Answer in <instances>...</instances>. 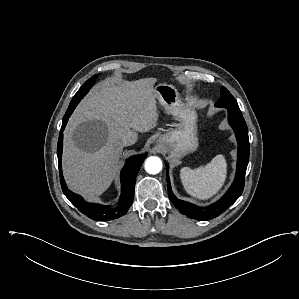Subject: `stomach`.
Instances as JSON below:
<instances>
[{
    "mask_svg": "<svg viewBox=\"0 0 299 299\" xmlns=\"http://www.w3.org/2000/svg\"><path fill=\"white\" fill-rule=\"evenodd\" d=\"M156 99L167 113L177 117L179 127L160 135L157 144L166 150L171 159H179L194 152L198 147L197 112L181 102L176 88L169 84H158L154 87Z\"/></svg>",
    "mask_w": 299,
    "mask_h": 299,
    "instance_id": "obj_1",
    "label": "stomach"
}]
</instances>
